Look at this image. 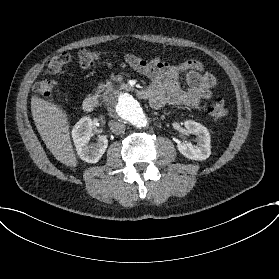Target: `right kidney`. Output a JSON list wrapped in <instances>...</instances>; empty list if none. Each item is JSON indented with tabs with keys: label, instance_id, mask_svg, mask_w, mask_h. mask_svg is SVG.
Returning a JSON list of instances; mask_svg holds the SVG:
<instances>
[{
	"label": "right kidney",
	"instance_id": "right-kidney-1",
	"mask_svg": "<svg viewBox=\"0 0 279 279\" xmlns=\"http://www.w3.org/2000/svg\"><path fill=\"white\" fill-rule=\"evenodd\" d=\"M93 136V123L90 117L81 118L72 129V138L78 156L87 163H97L105 153L108 140L101 135L97 143L89 145L90 138Z\"/></svg>",
	"mask_w": 279,
	"mask_h": 279
}]
</instances>
